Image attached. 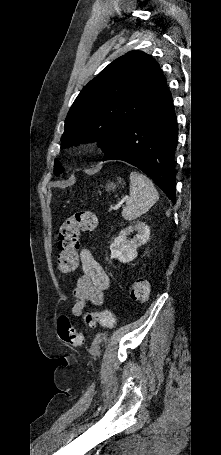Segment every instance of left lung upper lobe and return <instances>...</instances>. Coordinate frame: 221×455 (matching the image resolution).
Segmentation results:
<instances>
[{
    "label": "left lung upper lobe",
    "instance_id": "left-lung-upper-lobe-1",
    "mask_svg": "<svg viewBox=\"0 0 221 455\" xmlns=\"http://www.w3.org/2000/svg\"><path fill=\"white\" fill-rule=\"evenodd\" d=\"M159 64L141 51H130L110 63L80 92L65 120L61 148L97 141L106 152L127 125L166 91ZM64 168L56 159L54 174Z\"/></svg>",
    "mask_w": 221,
    "mask_h": 455
}]
</instances>
